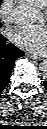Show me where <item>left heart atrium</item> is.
I'll return each mask as SVG.
<instances>
[{
  "label": "left heart atrium",
  "mask_w": 47,
  "mask_h": 129,
  "mask_svg": "<svg viewBox=\"0 0 47 129\" xmlns=\"http://www.w3.org/2000/svg\"><path fill=\"white\" fill-rule=\"evenodd\" d=\"M46 33L43 25L26 24L16 28L13 40L20 47L38 53L44 47Z\"/></svg>",
  "instance_id": "39dd6f15"
}]
</instances>
